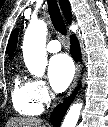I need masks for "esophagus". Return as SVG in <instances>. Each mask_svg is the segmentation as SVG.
<instances>
[{
  "label": "esophagus",
  "instance_id": "34e87169",
  "mask_svg": "<svg viewBox=\"0 0 108 127\" xmlns=\"http://www.w3.org/2000/svg\"><path fill=\"white\" fill-rule=\"evenodd\" d=\"M80 69H81V66H80V64H78V66H77L76 79H75V81H74V83L72 85V89L71 90H73V88L76 86V81L78 80V78L80 76ZM70 93H71V91L69 92V95H70Z\"/></svg>",
  "mask_w": 108,
  "mask_h": 127
}]
</instances>
